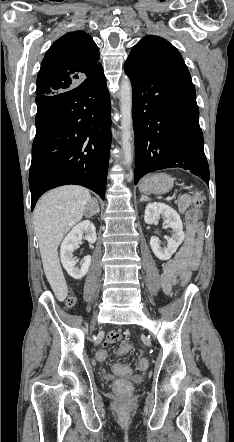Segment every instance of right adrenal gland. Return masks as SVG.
<instances>
[{
	"instance_id": "obj_1",
	"label": "right adrenal gland",
	"mask_w": 234,
	"mask_h": 442,
	"mask_svg": "<svg viewBox=\"0 0 234 442\" xmlns=\"http://www.w3.org/2000/svg\"><path fill=\"white\" fill-rule=\"evenodd\" d=\"M91 202H93L95 204V206H96V213H99L100 209H99L98 201L95 198H91L90 203ZM88 210H89V204L86 207V211H88ZM85 216H86V214H85Z\"/></svg>"
}]
</instances>
